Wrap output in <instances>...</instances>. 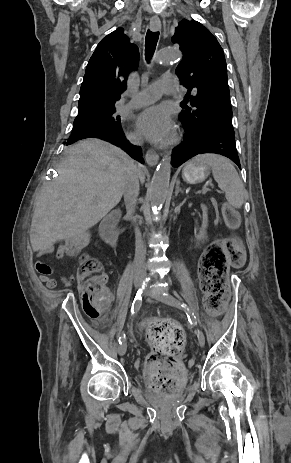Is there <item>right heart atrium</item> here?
<instances>
[{
    "label": "right heart atrium",
    "mask_w": 291,
    "mask_h": 463,
    "mask_svg": "<svg viewBox=\"0 0 291 463\" xmlns=\"http://www.w3.org/2000/svg\"><path fill=\"white\" fill-rule=\"evenodd\" d=\"M130 137H131V139H133V140H137V139H138L137 135L134 134V133H132V134L130 135Z\"/></svg>",
    "instance_id": "obj_1"
}]
</instances>
